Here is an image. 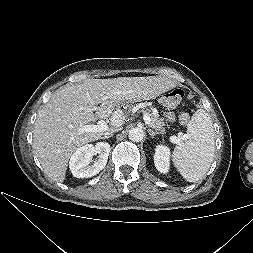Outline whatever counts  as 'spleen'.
<instances>
[{"instance_id": "obj_1", "label": "spleen", "mask_w": 253, "mask_h": 253, "mask_svg": "<svg viewBox=\"0 0 253 253\" xmlns=\"http://www.w3.org/2000/svg\"><path fill=\"white\" fill-rule=\"evenodd\" d=\"M214 130L208 113L198 109L187 125V134L172 153V161L188 182L201 179L214 157Z\"/></svg>"}]
</instances>
